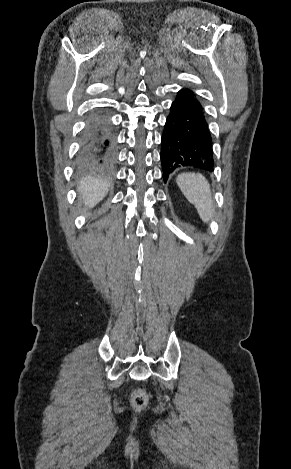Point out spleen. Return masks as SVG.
<instances>
[{
    "label": "spleen",
    "mask_w": 291,
    "mask_h": 469,
    "mask_svg": "<svg viewBox=\"0 0 291 469\" xmlns=\"http://www.w3.org/2000/svg\"><path fill=\"white\" fill-rule=\"evenodd\" d=\"M176 183L186 199L195 206L200 218L208 223L214 214L213 198L210 185L202 174L182 173Z\"/></svg>",
    "instance_id": "spleen-1"
}]
</instances>
